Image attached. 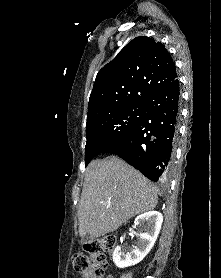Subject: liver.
Returning a JSON list of instances; mask_svg holds the SVG:
<instances>
[{"mask_svg": "<svg viewBox=\"0 0 221 278\" xmlns=\"http://www.w3.org/2000/svg\"><path fill=\"white\" fill-rule=\"evenodd\" d=\"M154 185L118 157L92 161L86 169L78 207L79 235L93 238L116 231L123 223L157 205Z\"/></svg>", "mask_w": 221, "mask_h": 278, "instance_id": "1", "label": "liver"}]
</instances>
